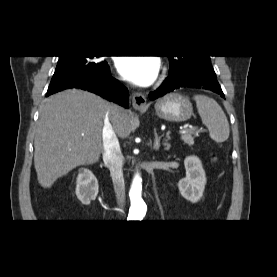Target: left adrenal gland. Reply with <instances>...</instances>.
<instances>
[{"label":"left adrenal gland","instance_id":"1","mask_svg":"<svg viewBox=\"0 0 277 277\" xmlns=\"http://www.w3.org/2000/svg\"><path fill=\"white\" fill-rule=\"evenodd\" d=\"M154 134H155L154 149L159 150V148L161 146L160 141H161L163 136H158L156 130H154Z\"/></svg>","mask_w":277,"mask_h":277}]
</instances>
